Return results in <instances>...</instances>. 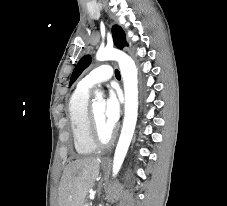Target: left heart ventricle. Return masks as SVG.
Here are the masks:
<instances>
[{"label":"left heart ventricle","mask_w":227,"mask_h":206,"mask_svg":"<svg viewBox=\"0 0 227 206\" xmlns=\"http://www.w3.org/2000/svg\"><path fill=\"white\" fill-rule=\"evenodd\" d=\"M104 101H97L93 104V110L96 117L99 133L102 138H107L112 130L107 126L104 119Z\"/></svg>","instance_id":"left-heart-ventricle-1"}]
</instances>
